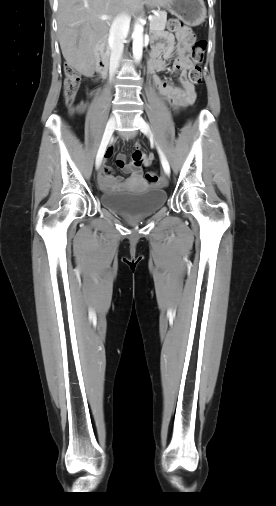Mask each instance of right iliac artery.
I'll return each instance as SVG.
<instances>
[{"label":"right iliac artery","mask_w":276,"mask_h":506,"mask_svg":"<svg viewBox=\"0 0 276 506\" xmlns=\"http://www.w3.org/2000/svg\"><path fill=\"white\" fill-rule=\"evenodd\" d=\"M101 161H102V158H101V159H98V161L96 162V165H97V166H98V165H100Z\"/></svg>","instance_id":"right-iliac-artery-1"}]
</instances>
